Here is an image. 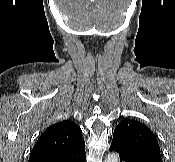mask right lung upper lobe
Returning a JSON list of instances; mask_svg holds the SVG:
<instances>
[{
    "mask_svg": "<svg viewBox=\"0 0 175 162\" xmlns=\"http://www.w3.org/2000/svg\"><path fill=\"white\" fill-rule=\"evenodd\" d=\"M85 153L79 126L70 120L48 127L37 140L29 162H46L56 158L75 159Z\"/></svg>",
    "mask_w": 175,
    "mask_h": 162,
    "instance_id": "1",
    "label": "right lung upper lobe"
}]
</instances>
